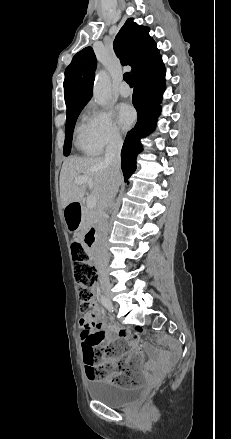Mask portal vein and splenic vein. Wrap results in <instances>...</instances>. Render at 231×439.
<instances>
[{
	"mask_svg": "<svg viewBox=\"0 0 231 439\" xmlns=\"http://www.w3.org/2000/svg\"><path fill=\"white\" fill-rule=\"evenodd\" d=\"M74 182L77 185H80V184H83V183H88L90 185V187H91V183H92L91 179L88 178V177H85V176L77 177ZM96 203H97L96 197L92 196V195H89L88 198H87V201H86L87 208L90 209V210H93L94 207L96 206Z\"/></svg>",
	"mask_w": 231,
	"mask_h": 439,
	"instance_id": "18ae733b",
	"label": "portal vein and splenic vein"
}]
</instances>
